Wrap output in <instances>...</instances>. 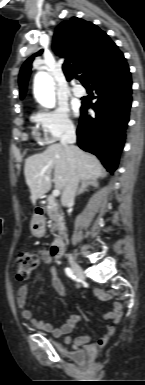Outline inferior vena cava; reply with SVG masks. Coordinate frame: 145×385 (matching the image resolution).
<instances>
[{
	"label": "inferior vena cava",
	"mask_w": 145,
	"mask_h": 385,
	"mask_svg": "<svg viewBox=\"0 0 145 385\" xmlns=\"http://www.w3.org/2000/svg\"><path fill=\"white\" fill-rule=\"evenodd\" d=\"M76 142V132L74 126L70 125L66 128L64 135L61 137V144L68 150L74 148L73 144ZM68 161L70 165V176L68 182L63 190L61 196V203L63 206L74 201L78 183L80 181L79 174L77 172L76 157L72 152H69Z\"/></svg>",
	"instance_id": "obj_1"
}]
</instances>
